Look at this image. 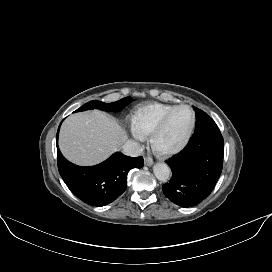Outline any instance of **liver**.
<instances>
[{"label": "liver", "mask_w": 272, "mask_h": 272, "mask_svg": "<svg viewBox=\"0 0 272 272\" xmlns=\"http://www.w3.org/2000/svg\"><path fill=\"white\" fill-rule=\"evenodd\" d=\"M127 140L117 120L101 111L70 115L62 124L59 147L70 162L91 166L107 159Z\"/></svg>", "instance_id": "1"}]
</instances>
